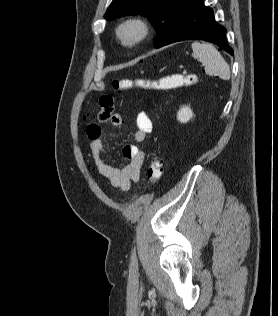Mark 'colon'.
I'll use <instances>...</instances> for the list:
<instances>
[{
  "instance_id": "colon-1",
  "label": "colon",
  "mask_w": 278,
  "mask_h": 316,
  "mask_svg": "<svg viewBox=\"0 0 278 316\" xmlns=\"http://www.w3.org/2000/svg\"><path fill=\"white\" fill-rule=\"evenodd\" d=\"M196 76L193 74L185 76H171L164 79L161 82L149 81V80H113L112 88L118 90H129L133 87L153 90L160 89L169 85H184L191 86L195 84ZM115 100L112 94L102 95L99 99V109L96 112H92L88 115V119L91 121L93 127H98L97 124H103L110 120L114 110ZM163 162L159 159L153 160L147 169V180L151 184H157L162 177Z\"/></svg>"
}]
</instances>
